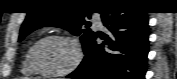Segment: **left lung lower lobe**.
Instances as JSON below:
<instances>
[{
    "label": "left lung lower lobe",
    "instance_id": "1",
    "mask_svg": "<svg viewBox=\"0 0 177 79\" xmlns=\"http://www.w3.org/2000/svg\"><path fill=\"white\" fill-rule=\"evenodd\" d=\"M118 11L103 8L102 22L108 33L95 34L85 50V58L68 78L78 79H144L148 54V17L146 12L115 6Z\"/></svg>",
    "mask_w": 177,
    "mask_h": 79
}]
</instances>
